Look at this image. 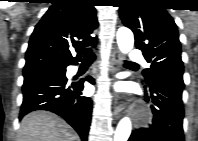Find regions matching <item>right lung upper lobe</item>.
Segmentation results:
<instances>
[{
    "instance_id": "obj_1",
    "label": "right lung upper lobe",
    "mask_w": 198,
    "mask_h": 141,
    "mask_svg": "<svg viewBox=\"0 0 198 141\" xmlns=\"http://www.w3.org/2000/svg\"><path fill=\"white\" fill-rule=\"evenodd\" d=\"M36 25L26 52L23 72L60 68L80 59L79 50L97 42L98 27L91 0H57ZM78 52L76 57L72 52Z\"/></svg>"
}]
</instances>
